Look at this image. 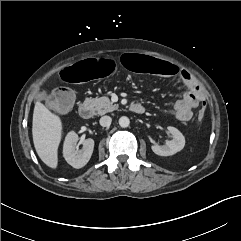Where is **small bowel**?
I'll return each mask as SVG.
<instances>
[{
  "mask_svg": "<svg viewBox=\"0 0 241 241\" xmlns=\"http://www.w3.org/2000/svg\"><path fill=\"white\" fill-rule=\"evenodd\" d=\"M177 76L188 87V91L175 102V117L180 122H188L193 116L192 110L204 102L205 92L189 71L179 69Z\"/></svg>",
  "mask_w": 241,
  "mask_h": 241,
  "instance_id": "small-bowel-1",
  "label": "small bowel"
}]
</instances>
